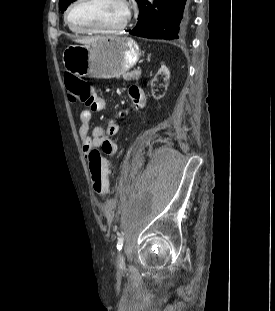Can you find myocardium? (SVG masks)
<instances>
[{"label": "myocardium", "instance_id": "1", "mask_svg": "<svg viewBox=\"0 0 275 311\" xmlns=\"http://www.w3.org/2000/svg\"><path fill=\"white\" fill-rule=\"evenodd\" d=\"M81 1L82 0H74L67 8L65 12V16H64L65 22L68 25V27L75 32L89 33V34H102V35L117 34V33L122 32L124 29H126V27L131 21L132 11H131L129 2L127 0H119L123 4L126 10V17L121 25L115 28H109V29H91V28H85V27H76L70 22L69 16H70L72 9Z\"/></svg>", "mask_w": 275, "mask_h": 311}]
</instances>
